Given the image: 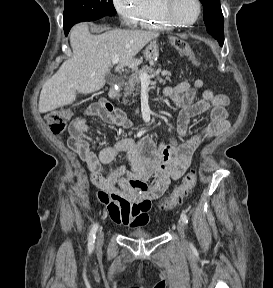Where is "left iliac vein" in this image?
Listing matches in <instances>:
<instances>
[{
	"label": "left iliac vein",
	"instance_id": "4c4485c4",
	"mask_svg": "<svg viewBox=\"0 0 273 288\" xmlns=\"http://www.w3.org/2000/svg\"><path fill=\"white\" fill-rule=\"evenodd\" d=\"M177 229H178V232H179V235H180L181 244H182L183 247H186L187 241H186V238H185V226H184L183 221L180 220L178 222Z\"/></svg>",
	"mask_w": 273,
	"mask_h": 288
}]
</instances>
